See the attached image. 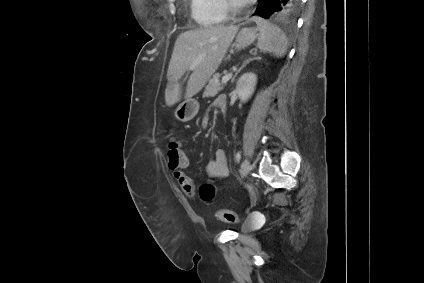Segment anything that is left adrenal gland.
<instances>
[{"instance_id": "1", "label": "left adrenal gland", "mask_w": 424, "mask_h": 283, "mask_svg": "<svg viewBox=\"0 0 424 283\" xmlns=\"http://www.w3.org/2000/svg\"><path fill=\"white\" fill-rule=\"evenodd\" d=\"M255 59L260 60L261 58H260V57H256V58H250V59L246 60V61L243 63V65L240 67V69H239V70L235 73V75H234V76H233V78H232V81H234V79L237 77L238 73H240V71H241L244 67H246V65H247V64H249L251 61H253V60H255Z\"/></svg>"}]
</instances>
